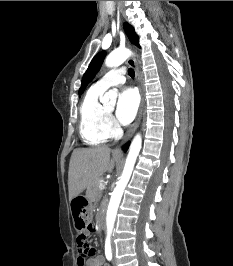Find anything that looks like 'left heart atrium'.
<instances>
[{
  "instance_id": "1",
  "label": "left heart atrium",
  "mask_w": 233,
  "mask_h": 266,
  "mask_svg": "<svg viewBox=\"0 0 233 266\" xmlns=\"http://www.w3.org/2000/svg\"><path fill=\"white\" fill-rule=\"evenodd\" d=\"M139 107V97L133 88H125L119 95L116 116L119 122L127 125L135 118Z\"/></svg>"
}]
</instances>
